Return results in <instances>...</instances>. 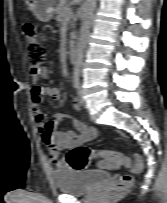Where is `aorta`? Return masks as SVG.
Masks as SVG:
<instances>
[{
  "mask_svg": "<svg viewBox=\"0 0 167 203\" xmlns=\"http://www.w3.org/2000/svg\"><path fill=\"white\" fill-rule=\"evenodd\" d=\"M96 3L97 0H86L84 4L83 22L74 55V70L76 74H79L83 64V56L90 35V28L94 18Z\"/></svg>",
  "mask_w": 167,
  "mask_h": 203,
  "instance_id": "aorta-1",
  "label": "aorta"
}]
</instances>
